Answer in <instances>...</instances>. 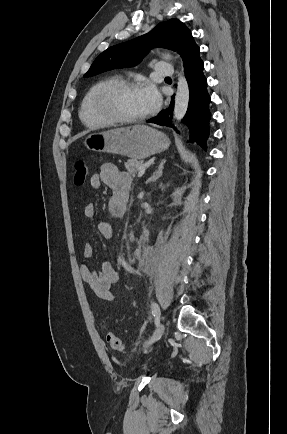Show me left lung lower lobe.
Segmentation results:
<instances>
[{
  "instance_id": "left-lung-lower-lobe-1",
  "label": "left lung lower lobe",
  "mask_w": 287,
  "mask_h": 434,
  "mask_svg": "<svg viewBox=\"0 0 287 434\" xmlns=\"http://www.w3.org/2000/svg\"><path fill=\"white\" fill-rule=\"evenodd\" d=\"M185 77L189 86V103L188 109L183 122L187 125L189 131V140L197 143L206 149V141L209 137V112L210 97L207 92V80L203 74V61L200 55H194L184 63ZM174 100L172 97L168 109L161 111L156 117L147 120L149 123H155L161 126L175 127L172 125V112ZM179 133V131H177Z\"/></svg>"
}]
</instances>
